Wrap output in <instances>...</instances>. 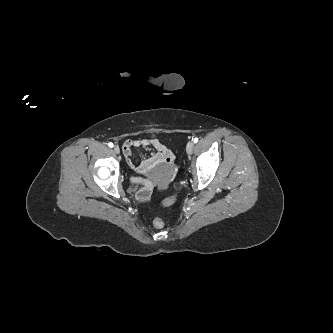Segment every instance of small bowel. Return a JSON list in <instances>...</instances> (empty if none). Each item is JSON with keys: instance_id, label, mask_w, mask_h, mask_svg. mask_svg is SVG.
<instances>
[{"instance_id": "obj_1", "label": "small bowel", "mask_w": 333, "mask_h": 333, "mask_svg": "<svg viewBox=\"0 0 333 333\" xmlns=\"http://www.w3.org/2000/svg\"><path fill=\"white\" fill-rule=\"evenodd\" d=\"M133 148H144L150 151L149 155L142 157L140 162L133 160ZM123 153L130 168L137 173L147 174L157 167H171L174 163V155L170 149L162 144L158 139H128L123 144ZM139 183L140 180H136ZM153 185L145 183L136 192V197L140 201L148 200L152 195Z\"/></svg>"}]
</instances>
